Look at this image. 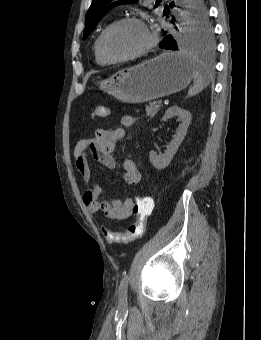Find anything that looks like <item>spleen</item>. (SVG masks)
I'll list each match as a JSON object with an SVG mask.
<instances>
[{"label": "spleen", "instance_id": "spleen-1", "mask_svg": "<svg viewBox=\"0 0 261 340\" xmlns=\"http://www.w3.org/2000/svg\"><path fill=\"white\" fill-rule=\"evenodd\" d=\"M194 63V85L188 91L189 96H194L200 93L209 83V76L206 69L198 63L196 60L193 61Z\"/></svg>", "mask_w": 261, "mask_h": 340}]
</instances>
